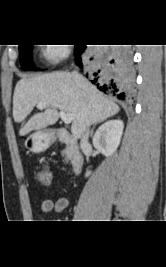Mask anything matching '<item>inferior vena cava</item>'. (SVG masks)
I'll list each match as a JSON object with an SVG mask.
<instances>
[{"label":"inferior vena cava","mask_w":166,"mask_h":267,"mask_svg":"<svg viewBox=\"0 0 166 267\" xmlns=\"http://www.w3.org/2000/svg\"><path fill=\"white\" fill-rule=\"evenodd\" d=\"M72 77L74 78V80L78 83H82L83 82V77L78 73V71H72ZM90 126V125H89ZM89 126L86 128L82 139H81V147L85 146L88 144V138H89V134H90V130H89Z\"/></svg>","instance_id":"1"}]
</instances>
